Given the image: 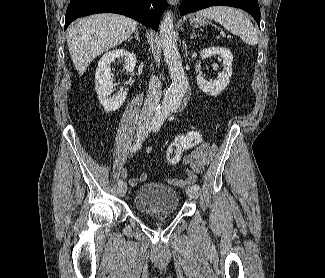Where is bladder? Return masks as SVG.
<instances>
[{"label":"bladder","instance_id":"1","mask_svg":"<svg viewBox=\"0 0 325 278\" xmlns=\"http://www.w3.org/2000/svg\"><path fill=\"white\" fill-rule=\"evenodd\" d=\"M133 205L138 212L144 214L174 213L179 209V195L167 184L145 183L137 188Z\"/></svg>","mask_w":325,"mask_h":278}]
</instances>
